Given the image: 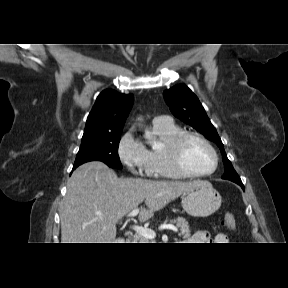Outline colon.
I'll list each match as a JSON object with an SVG mask.
<instances>
[{
  "label": "colon",
  "mask_w": 288,
  "mask_h": 288,
  "mask_svg": "<svg viewBox=\"0 0 288 288\" xmlns=\"http://www.w3.org/2000/svg\"><path fill=\"white\" fill-rule=\"evenodd\" d=\"M223 225L228 230H233L236 225L235 217L232 213L226 212L223 217Z\"/></svg>",
  "instance_id": "obj_1"
}]
</instances>
